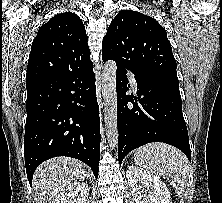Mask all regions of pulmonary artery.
I'll return each mask as SVG.
<instances>
[{"instance_id":"1","label":"pulmonary artery","mask_w":222,"mask_h":203,"mask_svg":"<svg viewBox=\"0 0 222 203\" xmlns=\"http://www.w3.org/2000/svg\"><path fill=\"white\" fill-rule=\"evenodd\" d=\"M128 75H129V77H130V79H131L132 85H133L135 88H137V82H136V79H135V77H134V74L131 73V72H129Z\"/></svg>"}]
</instances>
